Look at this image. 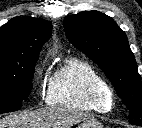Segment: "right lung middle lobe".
<instances>
[{
	"mask_svg": "<svg viewBox=\"0 0 142 128\" xmlns=\"http://www.w3.org/2000/svg\"><path fill=\"white\" fill-rule=\"evenodd\" d=\"M37 59L18 68L12 74H0V114L19 110L29 96Z\"/></svg>",
	"mask_w": 142,
	"mask_h": 128,
	"instance_id": "1",
	"label": "right lung middle lobe"
}]
</instances>
